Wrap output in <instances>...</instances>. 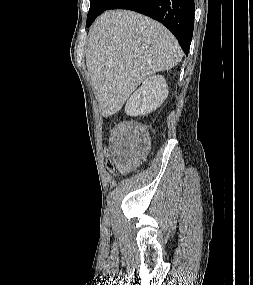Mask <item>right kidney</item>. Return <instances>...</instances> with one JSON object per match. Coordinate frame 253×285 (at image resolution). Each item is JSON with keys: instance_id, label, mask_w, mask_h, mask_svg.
<instances>
[{"instance_id": "ca27d5eb", "label": "right kidney", "mask_w": 253, "mask_h": 285, "mask_svg": "<svg viewBox=\"0 0 253 285\" xmlns=\"http://www.w3.org/2000/svg\"><path fill=\"white\" fill-rule=\"evenodd\" d=\"M168 96V86L162 75L145 79L126 103L125 112L131 116L146 115L159 108Z\"/></svg>"}]
</instances>
